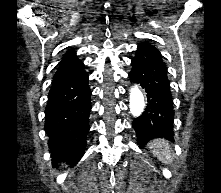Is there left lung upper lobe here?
I'll return each instance as SVG.
<instances>
[{
	"mask_svg": "<svg viewBox=\"0 0 221 193\" xmlns=\"http://www.w3.org/2000/svg\"><path fill=\"white\" fill-rule=\"evenodd\" d=\"M154 134H159V132L155 131Z\"/></svg>",
	"mask_w": 221,
	"mask_h": 193,
	"instance_id": "1",
	"label": "left lung upper lobe"
}]
</instances>
